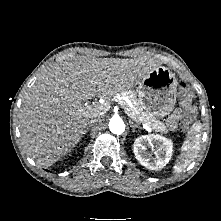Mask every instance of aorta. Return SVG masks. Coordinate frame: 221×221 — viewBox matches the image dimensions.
<instances>
[{
    "label": "aorta",
    "instance_id": "1",
    "mask_svg": "<svg viewBox=\"0 0 221 221\" xmlns=\"http://www.w3.org/2000/svg\"><path fill=\"white\" fill-rule=\"evenodd\" d=\"M109 129L113 134L120 135L125 131V124L119 116H113L109 121Z\"/></svg>",
    "mask_w": 221,
    "mask_h": 221
}]
</instances>
